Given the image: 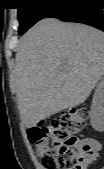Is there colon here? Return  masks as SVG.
<instances>
[{
	"instance_id": "5ec220e1",
	"label": "colon",
	"mask_w": 104,
	"mask_h": 169,
	"mask_svg": "<svg viewBox=\"0 0 104 169\" xmlns=\"http://www.w3.org/2000/svg\"><path fill=\"white\" fill-rule=\"evenodd\" d=\"M88 115L85 106H78L63 113L50 125L28 129V138L44 169H85L96 159L95 145L89 139L77 137Z\"/></svg>"
}]
</instances>
